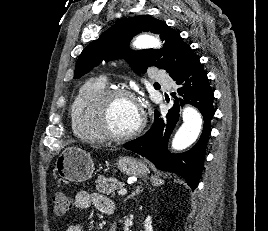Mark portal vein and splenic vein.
I'll list each match as a JSON object with an SVG mask.
<instances>
[{"instance_id": "18ae733b", "label": "portal vein and splenic vein", "mask_w": 268, "mask_h": 231, "mask_svg": "<svg viewBox=\"0 0 268 231\" xmlns=\"http://www.w3.org/2000/svg\"><path fill=\"white\" fill-rule=\"evenodd\" d=\"M127 193V190L124 189V188H121L119 191H118V194L119 195H125Z\"/></svg>"}]
</instances>
